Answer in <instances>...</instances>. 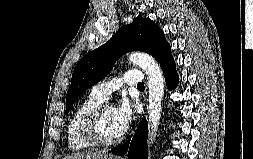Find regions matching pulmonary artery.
I'll return each instance as SVG.
<instances>
[{"mask_svg":"<svg viewBox=\"0 0 253 159\" xmlns=\"http://www.w3.org/2000/svg\"><path fill=\"white\" fill-rule=\"evenodd\" d=\"M143 82V73L140 70H128L123 78L116 81H107L94 85L92 93L102 100L109 96L122 86H138Z\"/></svg>","mask_w":253,"mask_h":159,"instance_id":"e3ab8cb5","label":"pulmonary artery"}]
</instances>
